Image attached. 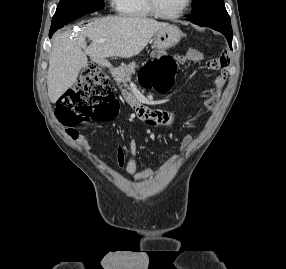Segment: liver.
Masks as SVG:
<instances>
[{"mask_svg":"<svg viewBox=\"0 0 286 269\" xmlns=\"http://www.w3.org/2000/svg\"><path fill=\"white\" fill-rule=\"evenodd\" d=\"M168 23L143 17H104L88 23L74 39L70 33L53 39L47 74L48 96L55 103L77 80L87 66V55L100 62L109 57L130 58L138 55L153 35ZM86 37L92 43L86 45ZM105 39L104 43L95 40Z\"/></svg>","mask_w":286,"mask_h":269,"instance_id":"obj_1","label":"liver"}]
</instances>
